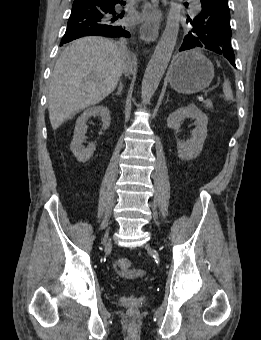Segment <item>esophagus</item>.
<instances>
[{"label": "esophagus", "instance_id": "esophagus-1", "mask_svg": "<svg viewBox=\"0 0 261 340\" xmlns=\"http://www.w3.org/2000/svg\"><path fill=\"white\" fill-rule=\"evenodd\" d=\"M143 18L140 36L146 43L155 42L159 36L161 10L148 4L144 7Z\"/></svg>", "mask_w": 261, "mask_h": 340}]
</instances>
